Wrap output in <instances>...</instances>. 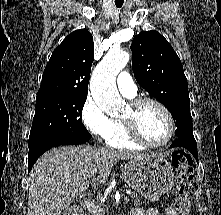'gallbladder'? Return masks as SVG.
Returning <instances> with one entry per match:
<instances>
[{"label": "gallbladder", "instance_id": "gallbladder-1", "mask_svg": "<svg viewBox=\"0 0 221 215\" xmlns=\"http://www.w3.org/2000/svg\"><path fill=\"white\" fill-rule=\"evenodd\" d=\"M81 212L82 210L76 205L70 206L66 211L67 215H82Z\"/></svg>", "mask_w": 221, "mask_h": 215}]
</instances>
